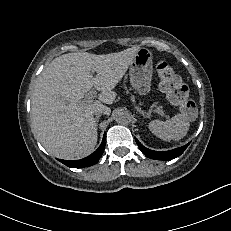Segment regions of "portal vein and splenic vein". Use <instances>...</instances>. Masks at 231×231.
I'll return each instance as SVG.
<instances>
[{
  "label": "portal vein and splenic vein",
  "instance_id": "obj_1",
  "mask_svg": "<svg viewBox=\"0 0 231 231\" xmlns=\"http://www.w3.org/2000/svg\"><path fill=\"white\" fill-rule=\"evenodd\" d=\"M96 96V92L95 91H91V92H89V93H87L86 95H85V99H84V102L85 103H91L92 101H93V99H94V97ZM137 109V111L139 112V113H141L142 115H144V114H146L143 110H141L140 108H136ZM158 112V111H157ZM147 115H149L148 113H147Z\"/></svg>",
  "mask_w": 231,
  "mask_h": 231
}]
</instances>
